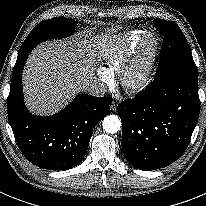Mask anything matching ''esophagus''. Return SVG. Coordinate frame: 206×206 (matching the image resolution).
Returning a JSON list of instances; mask_svg holds the SVG:
<instances>
[{"mask_svg": "<svg viewBox=\"0 0 206 206\" xmlns=\"http://www.w3.org/2000/svg\"><path fill=\"white\" fill-rule=\"evenodd\" d=\"M117 107H118V104H117L116 102H112V103L110 104V109H111V111H113V112H116Z\"/></svg>", "mask_w": 206, "mask_h": 206, "instance_id": "34e87169", "label": "esophagus"}]
</instances>
